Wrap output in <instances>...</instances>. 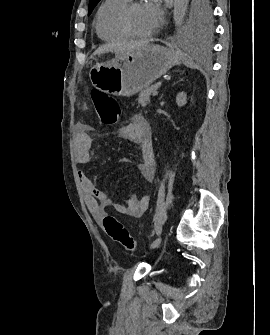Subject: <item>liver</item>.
<instances>
[{
  "mask_svg": "<svg viewBox=\"0 0 270 335\" xmlns=\"http://www.w3.org/2000/svg\"><path fill=\"white\" fill-rule=\"evenodd\" d=\"M145 42H126V44H122V48H119V54H126V52H133V50H140V48H144ZM112 46L110 44H103L100 48H97L96 52H94L93 56L96 54H105V52H111Z\"/></svg>",
  "mask_w": 270,
  "mask_h": 335,
  "instance_id": "6515ba94",
  "label": "liver"
}]
</instances>
